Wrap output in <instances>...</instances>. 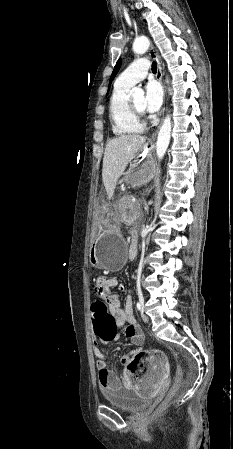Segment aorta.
<instances>
[{
  "instance_id": "aorta-1",
  "label": "aorta",
  "mask_w": 233,
  "mask_h": 449,
  "mask_svg": "<svg viewBox=\"0 0 233 449\" xmlns=\"http://www.w3.org/2000/svg\"><path fill=\"white\" fill-rule=\"evenodd\" d=\"M149 45L150 42L148 38L139 37L133 43V51L137 54H143L148 50ZM132 91L134 95L137 96H142L144 94V91L138 87L133 88ZM171 129H172L171 117L170 115H167L160 127L156 143V153L159 159L163 158L168 148L171 137Z\"/></svg>"
}]
</instances>
